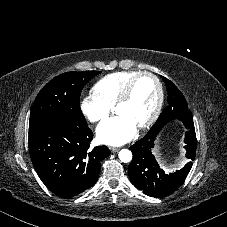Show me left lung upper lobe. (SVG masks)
<instances>
[{
  "label": "left lung upper lobe",
  "mask_w": 227,
  "mask_h": 227,
  "mask_svg": "<svg viewBox=\"0 0 227 227\" xmlns=\"http://www.w3.org/2000/svg\"><path fill=\"white\" fill-rule=\"evenodd\" d=\"M168 93V106L163 110L156 123L147 133V137L158 134L164 126H166L172 120H180L186 126L193 122L191 111L188 109V105L185 97L179 91V89L167 78L161 76Z\"/></svg>",
  "instance_id": "5c2ea615"
}]
</instances>
